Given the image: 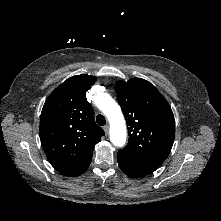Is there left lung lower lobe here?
<instances>
[{"label": "left lung lower lobe", "instance_id": "1", "mask_svg": "<svg viewBox=\"0 0 221 221\" xmlns=\"http://www.w3.org/2000/svg\"><path fill=\"white\" fill-rule=\"evenodd\" d=\"M117 157L120 169L132 178L144 177L151 174L158 168L123 149L118 151Z\"/></svg>", "mask_w": 221, "mask_h": 221}]
</instances>
